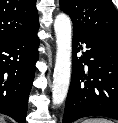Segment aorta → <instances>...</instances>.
<instances>
[{
  "instance_id": "762f6f07",
  "label": "aorta",
  "mask_w": 118,
  "mask_h": 123,
  "mask_svg": "<svg viewBox=\"0 0 118 123\" xmlns=\"http://www.w3.org/2000/svg\"><path fill=\"white\" fill-rule=\"evenodd\" d=\"M56 35V62L53 74L52 102L61 105L69 89L71 75V20L66 14H59L54 21Z\"/></svg>"
}]
</instances>
